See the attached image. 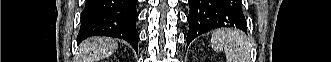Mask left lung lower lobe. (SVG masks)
I'll list each match as a JSON object with an SVG mask.
<instances>
[{"mask_svg": "<svg viewBox=\"0 0 331 62\" xmlns=\"http://www.w3.org/2000/svg\"><path fill=\"white\" fill-rule=\"evenodd\" d=\"M189 31L187 46L200 34L220 27H234L246 32L241 0H188Z\"/></svg>", "mask_w": 331, "mask_h": 62, "instance_id": "0a47b994", "label": "left lung lower lobe"}]
</instances>
